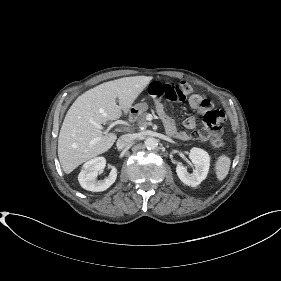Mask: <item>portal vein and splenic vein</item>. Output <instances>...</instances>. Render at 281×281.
I'll return each mask as SVG.
<instances>
[{"label":"portal vein and splenic vein","mask_w":281,"mask_h":281,"mask_svg":"<svg viewBox=\"0 0 281 281\" xmlns=\"http://www.w3.org/2000/svg\"><path fill=\"white\" fill-rule=\"evenodd\" d=\"M91 124H93L96 128L98 129H103V126L98 124L97 122L95 121H91ZM102 137H96L94 139L91 140L90 144H95L96 142L100 141Z\"/></svg>","instance_id":"18ae733b"}]
</instances>
